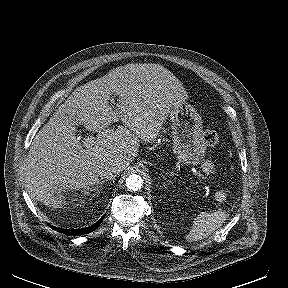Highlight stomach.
<instances>
[{
	"label": "stomach",
	"instance_id": "stomach-1",
	"mask_svg": "<svg viewBox=\"0 0 288 288\" xmlns=\"http://www.w3.org/2000/svg\"><path fill=\"white\" fill-rule=\"evenodd\" d=\"M169 116L177 159L184 165L199 164L206 153L201 116L184 101L176 103Z\"/></svg>",
	"mask_w": 288,
	"mask_h": 288
}]
</instances>
